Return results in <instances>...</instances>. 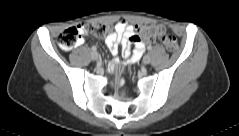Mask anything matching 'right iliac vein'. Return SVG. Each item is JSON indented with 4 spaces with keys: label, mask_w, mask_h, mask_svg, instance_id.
Listing matches in <instances>:
<instances>
[{
    "label": "right iliac vein",
    "mask_w": 239,
    "mask_h": 136,
    "mask_svg": "<svg viewBox=\"0 0 239 136\" xmlns=\"http://www.w3.org/2000/svg\"><path fill=\"white\" fill-rule=\"evenodd\" d=\"M91 58H92L93 60H97V59L99 58V54L94 51V52H92V54H91Z\"/></svg>",
    "instance_id": "obj_1"
}]
</instances>
